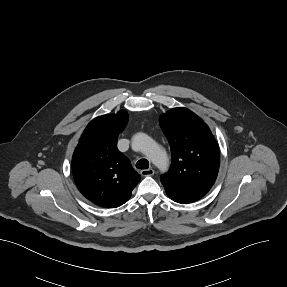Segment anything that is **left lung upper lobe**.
<instances>
[{
  "instance_id": "left-lung-upper-lobe-1",
  "label": "left lung upper lobe",
  "mask_w": 287,
  "mask_h": 287,
  "mask_svg": "<svg viewBox=\"0 0 287 287\" xmlns=\"http://www.w3.org/2000/svg\"><path fill=\"white\" fill-rule=\"evenodd\" d=\"M160 126L172 153L171 167L160 177L167 195L181 204L199 200L219 171V150L210 129L195 113L181 107L163 114Z\"/></svg>"
}]
</instances>
